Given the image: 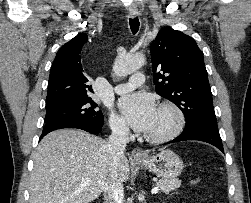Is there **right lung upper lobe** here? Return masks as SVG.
<instances>
[{"label":"right lung upper lobe","instance_id":"cb5924a9","mask_svg":"<svg viewBox=\"0 0 251 203\" xmlns=\"http://www.w3.org/2000/svg\"><path fill=\"white\" fill-rule=\"evenodd\" d=\"M87 41L88 36L80 33L58 50L50 71L46 108L82 100L93 93L80 57Z\"/></svg>","mask_w":251,"mask_h":203}]
</instances>
